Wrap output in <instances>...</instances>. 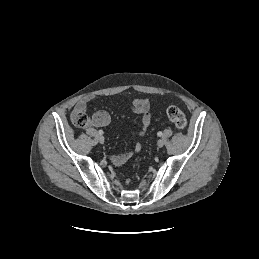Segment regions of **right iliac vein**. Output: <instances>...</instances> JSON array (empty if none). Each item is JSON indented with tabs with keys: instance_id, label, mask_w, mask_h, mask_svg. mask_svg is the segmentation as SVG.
<instances>
[{
	"instance_id": "63e3f726",
	"label": "right iliac vein",
	"mask_w": 259,
	"mask_h": 259,
	"mask_svg": "<svg viewBox=\"0 0 259 259\" xmlns=\"http://www.w3.org/2000/svg\"><path fill=\"white\" fill-rule=\"evenodd\" d=\"M98 140H99V142H100L101 144L104 143V137H103L102 135H99V136H98Z\"/></svg>"
}]
</instances>
